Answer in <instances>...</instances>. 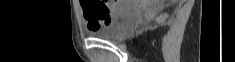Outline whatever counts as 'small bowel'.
Instances as JSON below:
<instances>
[{"label":"small bowel","instance_id":"obj_1","mask_svg":"<svg viewBox=\"0 0 235 62\" xmlns=\"http://www.w3.org/2000/svg\"><path fill=\"white\" fill-rule=\"evenodd\" d=\"M124 3H118L117 7H116V10L117 9H120L121 7H123ZM82 7H83V11H84V17L85 19L87 20V27L90 31L92 30H95L97 28H99L101 25H103L105 22H100V23H97L94 18H89L85 15V10H84V6H83V3H82Z\"/></svg>","mask_w":235,"mask_h":62}]
</instances>
